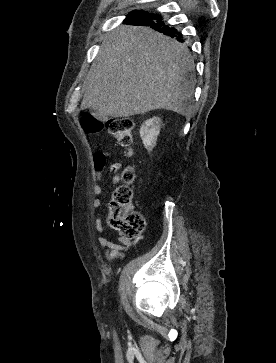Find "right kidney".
<instances>
[{
  "label": "right kidney",
  "instance_id": "ca27d5eb",
  "mask_svg": "<svg viewBox=\"0 0 276 363\" xmlns=\"http://www.w3.org/2000/svg\"><path fill=\"white\" fill-rule=\"evenodd\" d=\"M160 123L161 119L159 117H153L146 120L140 128V137L148 151H152L156 145L157 137L160 133Z\"/></svg>",
  "mask_w": 276,
  "mask_h": 363
}]
</instances>
